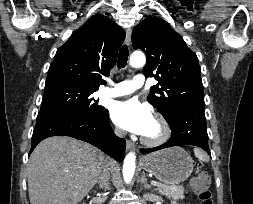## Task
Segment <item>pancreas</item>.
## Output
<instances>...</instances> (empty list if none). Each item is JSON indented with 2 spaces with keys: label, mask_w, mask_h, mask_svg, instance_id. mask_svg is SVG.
<instances>
[{
  "label": "pancreas",
  "mask_w": 253,
  "mask_h": 204,
  "mask_svg": "<svg viewBox=\"0 0 253 204\" xmlns=\"http://www.w3.org/2000/svg\"><path fill=\"white\" fill-rule=\"evenodd\" d=\"M159 193L172 199H184V188L182 186H165L157 189Z\"/></svg>",
  "instance_id": "pancreas-1"
}]
</instances>
